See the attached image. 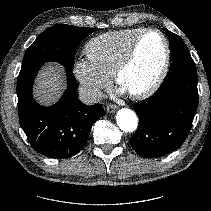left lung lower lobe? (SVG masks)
I'll return each instance as SVG.
<instances>
[{
    "mask_svg": "<svg viewBox=\"0 0 211 211\" xmlns=\"http://www.w3.org/2000/svg\"><path fill=\"white\" fill-rule=\"evenodd\" d=\"M170 46L179 43L169 36ZM197 70L190 54L171 61L160 88L149 98L134 104L139 126L130 139L142 157L156 158L170 153L186 140L197 110Z\"/></svg>",
    "mask_w": 211,
    "mask_h": 211,
    "instance_id": "obj_1",
    "label": "left lung lower lobe"
}]
</instances>
